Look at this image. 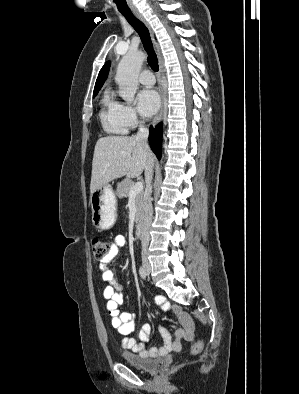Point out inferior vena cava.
Returning a JSON list of instances; mask_svg holds the SVG:
<instances>
[{
	"mask_svg": "<svg viewBox=\"0 0 299 394\" xmlns=\"http://www.w3.org/2000/svg\"><path fill=\"white\" fill-rule=\"evenodd\" d=\"M149 131L143 125L140 126L135 138L137 141L141 142L146 148L148 147L147 139H148ZM152 177H153V162H149L145 167V182L146 189L144 195V217H143V228L141 233V257L142 263L144 265H148L149 261L147 258V249L150 241V226L152 223V215H153V207H152Z\"/></svg>",
	"mask_w": 299,
	"mask_h": 394,
	"instance_id": "602c4592",
	"label": "inferior vena cava"
}]
</instances>
